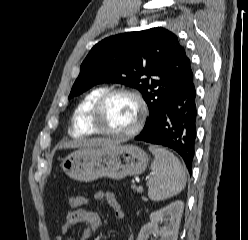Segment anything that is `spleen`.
Returning a JSON list of instances; mask_svg holds the SVG:
<instances>
[{"instance_id": "obj_1", "label": "spleen", "mask_w": 248, "mask_h": 240, "mask_svg": "<svg viewBox=\"0 0 248 240\" xmlns=\"http://www.w3.org/2000/svg\"><path fill=\"white\" fill-rule=\"evenodd\" d=\"M154 155L147 181L148 196L161 201L179 194L186 185V174L179 159L165 148L150 146Z\"/></svg>"}]
</instances>
